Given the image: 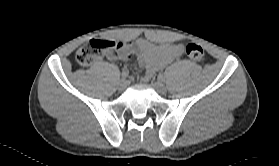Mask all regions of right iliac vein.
<instances>
[{"label":"right iliac vein","instance_id":"obj_1","mask_svg":"<svg viewBox=\"0 0 279 166\" xmlns=\"http://www.w3.org/2000/svg\"><path fill=\"white\" fill-rule=\"evenodd\" d=\"M128 85V82L125 80V79H121L119 82H118V90L119 91H123Z\"/></svg>","mask_w":279,"mask_h":166}]
</instances>
